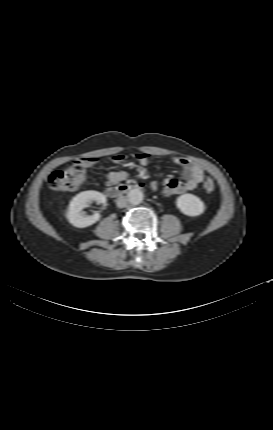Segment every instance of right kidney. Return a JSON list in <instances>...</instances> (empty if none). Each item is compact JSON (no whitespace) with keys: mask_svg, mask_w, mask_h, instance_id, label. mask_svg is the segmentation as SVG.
I'll return each instance as SVG.
<instances>
[{"mask_svg":"<svg viewBox=\"0 0 273 430\" xmlns=\"http://www.w3.org/2000/svg\"><path fill=\"white\" fill-rule=\"evenodd\" d=\"M91 201L104 204L106 202V197L100 192L90 190L77 194L71 200L66 217L73 226L78 228L88 227L100 219L101 216L99 213L87 216L85 212L82 211L85 205Z\"/></svg>","mask_w":273,"mask_h":430,"instance_id":"1","label":"right kidney"}]
</instances>
